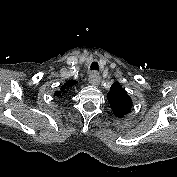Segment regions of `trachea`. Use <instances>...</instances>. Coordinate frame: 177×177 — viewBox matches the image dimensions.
<instances>
[{
	"mask_svg": "<svg viewBox=\"0 0 177 177\" xmlns=\"http://www.w3.org/2000/svg\"><path fill=\"white\" fill-rule=\"evenodd\" d=\"M90 67H91V70H97L98 68L97 62H93Z\"/></svg>",
	"mask_w": 177,
	"mask_h": 177,
	"instance_id": "3493384b",
	"label": "trachea"
}]
</instances>
